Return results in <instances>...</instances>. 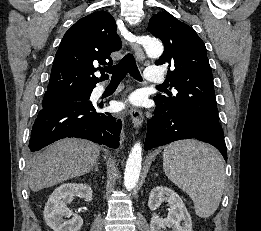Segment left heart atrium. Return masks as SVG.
Wrapping results in <instances>:
<instances>
[{
	"instance_id": "left-heart-atrium-1",
	"label": "left heart atrium",
	"mask_w": 261,
	"mask_h": 231,
	"mask_svg": "<svg viewBox=\"0 0 261 231\" xmlns=\"http://www.w3.org/2000/svg\"><path fill=\"white\" fill-rule=\"evenodd\" d=\"M127 103L131 106H139L143 103V96L139 93H134L128 98Z\"/></svg>"
}]
</instances>
